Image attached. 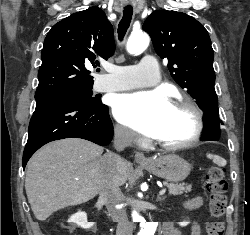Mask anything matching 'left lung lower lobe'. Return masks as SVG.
Instances as JSON below:
<instances>
[{"mask_svg":"<svg viewBox=\"0 0 250 235\" xmlns=\"http://www.w3.org/2000/svg\"><path fill=\"white\" fill-rule=\"evenodd\" d=\"M203 119L205 120L206 125L203 129L204 136L201 140H216L220 133V125L222 124L219 119L218 108H213L212 110L206 112Z\"/></svg>","mask_w":250,"mask_h":235,"instance_id":"1","label":"left lung lower lobe"}]
</instances>
